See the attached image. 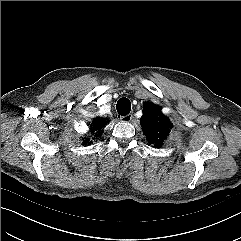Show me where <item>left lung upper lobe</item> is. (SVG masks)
<instances>
[{
  "label": "left lung upper lobe",
  "instance_id": "left-lung-upper-lobe-1",
  "mask_svg": "<svg viewBox=\"0 0 241 241\" xmlns=\"http://www.w3.org/2000/svg\"><path fill=\"white\" fill-rule=\"evenodd\" d=\"M143 106L144 114L141 118L143 132L151 144L160 147L170 132L171 123L161 113L160 107L152 103H146Z\"/></svg>",
  "mask_w": 241,
  "mask_h": 241
}]
</instances>
